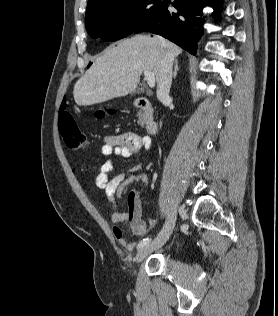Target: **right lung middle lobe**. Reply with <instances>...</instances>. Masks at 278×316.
Listing matches in <instances>:
<instances>
[{"mask_svg":"<svg viewBox=\"0 0 278 316\" xmlns=\"http://www.w3.org/2000/svg\"><path fill=\"white\" fill-rule=\"evenodd\" d=\"M161 0H110L86 12L92 38L115 41L133 33L155 13Z\"/></svg>","mask_w":278,"mask_h":316,"instance_id":"right-lung-middle-lobe-1","label":"right lung middle lobe"}]
</instances>
